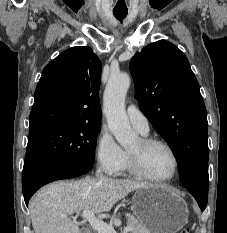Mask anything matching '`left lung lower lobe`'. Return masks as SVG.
Here are the masks:
<instances>
[{
    "mask_svg": "<svg viewBox=\"0 0 227 233\" xmlns=\"http://www.w3.org/2000/svg\"><path fill=\"white\" fill-rule=\"evenodd\" d=\"M191 194L197 200L198 205L200 206L201 210L203 211L207 205V196H202L201 194H198V193H191Z\"/></svg>",
    "mask_w": 227,
    "mask_h": 233,
    "instance_id": "left-lung-lower-lobe-1",
    "label": "left lung lower lobe"
}]
</instances>
